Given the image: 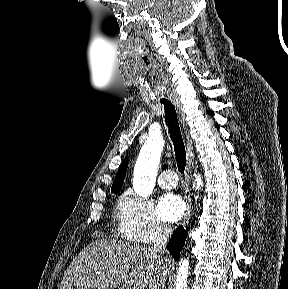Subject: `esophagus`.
Listing matches in <instances>:
<instances>
[{"label": "esophagus", "mask_w": 288, "mask_h": 289, "mask_svg": "<svg viewBox=\"0 0 288 289\" xmlns=\"http://www.w3.org/2000/svg\"><path fill=\"white\" fill-rule=\"evenodd\" d=\"M174 106L177 110L180 121L184 127L185 134H186V143H187V165H186V170H185V180L187 183L185 200H186V205H187V211H186L184 219H183V225H184V224H187L189 222V220L191 218V211H192V203H191L190 190H189V180H190L189 174L191 172V164H192V160L194 158V154H193L192 142H191L189 133L187 132V126H186V122H185V114L182 111V108H181L179 101H175Z\"/></svg>", "instance_id": "obj_1"}]
</instances>
